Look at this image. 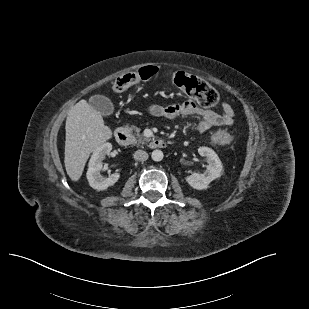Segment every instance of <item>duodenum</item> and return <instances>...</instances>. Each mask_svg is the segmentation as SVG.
Masks as SVG:
<instances>
[{
	"mask_svg": "<svg viewBox=\"0 0 309 309\" xmlns=\"http://www.w3.org/2000/svg\"><path fill=\"white\" fill-rule=\"evenodd\" d=\"M115 138L120 145L127 146L131 143V136L127 129L117 128L115 130ZM149 146L153 149H160L166 147V140L163 138H153L149 142Z\"/></svg>",
	"mask_w": 309,
	"mask_h": 309,
	"instance_id": "410a0bca",
	"label": "duodenum"
}]
</instances>
